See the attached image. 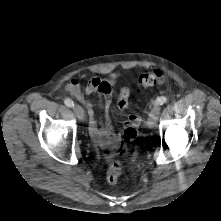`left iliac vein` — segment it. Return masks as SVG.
Returning a JSON list of instances; mask_svg holds the SVG:
<instances>
[{"label":"left iliac vein","instance_id":"1","mask_svg":"<svg viewBox=\"0 0 221 221\" xmlns=\"http://www.w3.org/2000/svg\"><path fill=\"white\" fill-rule=\"evenodd\" d=\"M159 111H160V108L158 106H155L150 114H149V118H148V121H147V127L148 128H153L155 127L156 125V122L158 120V116H159Z\"/></svg>","mask_w":221,"mask_h":221}]
</instances>
